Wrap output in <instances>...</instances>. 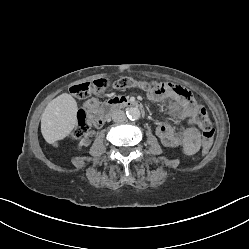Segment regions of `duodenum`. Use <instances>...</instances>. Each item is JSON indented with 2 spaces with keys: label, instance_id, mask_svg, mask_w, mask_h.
Instances as JSON below:
<instances>
[{
  "label": "duodenum",
  "instance_id": "duodenum-1",
  "mask_svg": "<svg viewBox=\"0 0 249 249\" xmlns=\"http://www.w3.org/2000/svg\"><path fill=\"white\" fill-rule=\"evenodd\" d=\"M132 107L138 109L140 112L144 111V107L141 102L128 99L125 97H115L109 99L101 108V120L105 121L119 108Z\"/></svg>",
  "mask_w": 249,
  "mask_h": 249
}]
</instances>
